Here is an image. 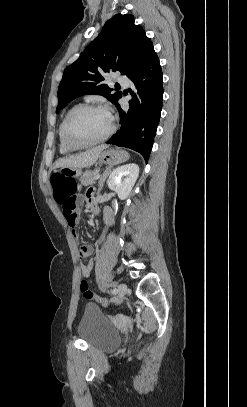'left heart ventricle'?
Listing matches in <instances>:
<instances>
[{
	"instance_id": "obj_1",
	"label": "left heart ventricle",
	"mask_w": 247,
	"mask_h": 407,
	"mask_svg": "<svg viewBox=\"0 0 247 407\" xmlns=\"http://www.w3.org/2000/svg\"><path fill=\"white\" fill-rule=\"evenodd\" d=\"M110 128L108 115L101 110H84L78 113L69 126L70 138L78 143L96 140Z\"/></svg>"
}]
</instances>
